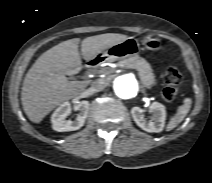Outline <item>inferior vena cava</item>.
<instances>
[{
	"label": "inferior vena cava",
	"instance_id": "602c4592",
	"mask_svg": "<svg viewBox=\"0 0 212 183\" xmlns=\"http://www.w3.org/2000/svg\"><path fill=\"white\" fill-rule=\"evenodd\" d=\"M105 80L103 79H98V80H94L91 84V90L93 92H98V91H101L105 85Z\"/></svg>",
	"mask_w": 212,
	"mask_h": 183
}]
</instances>
